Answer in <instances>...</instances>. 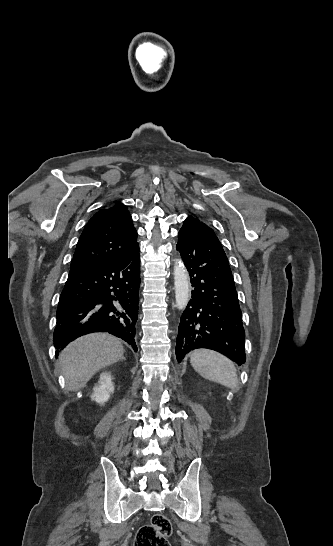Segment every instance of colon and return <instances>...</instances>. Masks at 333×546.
I'll list each match as a JSON object with an SVG mask.
<instances>
[{
  "mask_svg": "<svg viewBox=\"0 0 333 546\" xmlns=\"http://www.w3.org/2000/svg\"><path fill=\"white\" fill-rule=\"evenodd\" d=\"M172 533L169 518L163 514L152 517L151 523L142 526L136 534L135 546H169L167 538Z\"/></svg>",
  "mask_w": 333,
  "mask_h": 546,
  "instance_id": "obj_1",
  "label": "colon"
}]
</instances>
